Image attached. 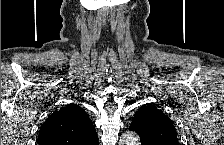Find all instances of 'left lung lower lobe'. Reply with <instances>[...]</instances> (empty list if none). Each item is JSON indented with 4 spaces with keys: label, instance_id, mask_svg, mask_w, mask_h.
<instances>
[{
    "label": "left lung lower lobe",
    "instance_id": "0a47b994",
    "mask_svg": "<svg viewBox=\"0 0 224 145\" xmlns=\"http://www.w3.org/2000/svg\"><path fill=\"white\" fill-rule=\"evenodd\" d=\"M138 122H131L130 124V130L135 131L139 137L141 145H156L155 142H153L151 139L147 138L140 130Z\"/></svg>",
    "mask_w": 224,
    "mask_h": 145
}]
</instances>
